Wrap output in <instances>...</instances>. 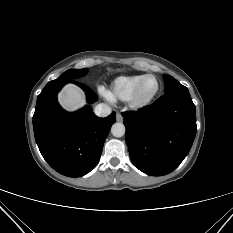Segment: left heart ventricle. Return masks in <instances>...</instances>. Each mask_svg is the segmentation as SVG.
<instances>
[{"label":"left heart ventricle","mask_w":233,"mask_h":233,"mask_svg":"<svg viewBox=\"0 0 233 233\" xmlns=\"http://www.w3.org/2000/svg\"><path fill=\"white\" fill-rule=\"evenodd\" d=\"M156 89V81L153 78H148L142 85L140 90V98L146 99L150 95L153 94V92Z\"/></svg>","instance_id":"b2bd125f"}]
</instances>
